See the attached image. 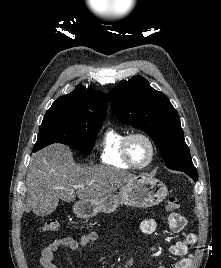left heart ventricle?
Returning <instances> with one entry per match:
<instances>
[{
  "instance_id": "left-heart-ventricle-1",
  "label": "left heart ventricle",
  "mask_w": 221,
  "mask_h": 268,
  "mask_svg": "<svg viewBox=\"0 0 221 268\" xmlns=\"http://www.w3.org/2000/svg\"><path fill=\"white\" fill-rule=\"evenodd\" d=\"M129 152L132 160L139 165L146 163L150 156V148L142 138H135L130 142Z\"/></svg>"
}]
</instances>
